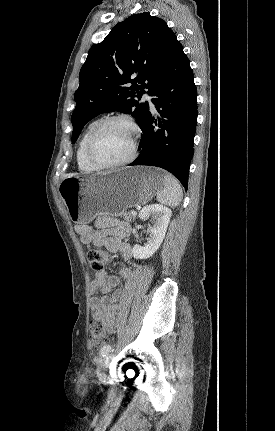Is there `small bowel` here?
Wrapping results in <instances>:
<instances>
[{"mask_svg":"<svg viewBox=\"0 0 275 431\" xmlns=\"http://www.w3.org/2000/svg\"><path fill=\"white\" fill-rule=\"evenodd\" d=\"M76 233L82 243L93 244L97 247H105L113 253H118L124 260L132 257L131 246L124 242L129 235V225L108 218L99 219L96 227L78 224ZM131 269L124 265L119 271V276H108L105 272H99L91 282L90 291L93 297L90 301V312L94 320L100 321L109 333H112L121 311L119 301L123 295L122 290L116 289L120 278L130 279ZM102 293L101 297L96 294Z\"/></svg>","mask_w":275,"mask_h":431,"instance_id":"obj_1","label":"small bowel"}]
</instances>
